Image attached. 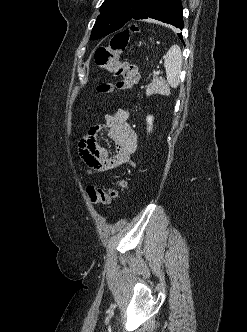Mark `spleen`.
<instances>
[{"label":"spleen","mask_w":247,"mask_h":332,"mask_svg":"<svg viewBox=\"0 0 247 332\" xmlns=\"http://www.w3.org/2000/svg\"><path fill=\"white\" fill-rule=\"evenodd\" d=\"M164 67L166 70L167 82L172 88H176L180 83V73L182 70V53L180 47L172 45L164 56ZM161 94H168V89H159Z\"/></svg>","instance_id":"spleen-1"}]
</instances>
